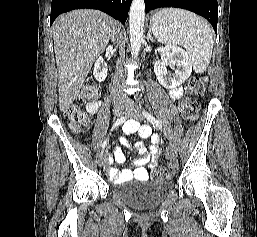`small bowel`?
I'll list each match as a JSON object with an SVG mask.
<instances>
[{"instance_id": "small-bowel-1", "label": "small bowel", "mask_w": 257, "mask_h": 237, "mask_svg": "<svg viewBox=\"0 0 257 237\" xmlns=\"http://www.w3.org/2000/svg\"><path fill=\"white\" fill-rule=\"evenodd\" d=\"M171 98L174 100H178L183 95L182 88H176L171 90L170 92ZM101 102H93L87 105V110L90 114L96 113L100 107ZM124 132L131 134L137 132L140 137L148 138L151 137L152 144L150 146H146L143 142H137L135 147L140 155L138 159L135 160L136 169L132 170H121L118 171L115 168L109 169L110 178L114 183H122L132 178L137 180H147L148 179V171L144 167L147 163L151 162L155 164V158L159 155L160 149L157 146L158 138L151 136V129L149 126H140L136 121L130 120L126 122L124 125ZM124 152L120 147L115 148L113 154L109 157V162L115 161L117 163H121L124 161Z\"/></svg>"}]
</instances>
